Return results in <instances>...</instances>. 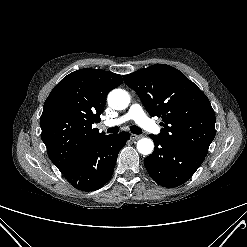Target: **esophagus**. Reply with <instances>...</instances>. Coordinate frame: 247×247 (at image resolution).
I'll use <instances>...</instances> for the list:
<instances>
[{
    "label": "esophagus",
    "mask_w": 247,
    "mask_h": 247,
    "mask_svg": "<svg viewBox=\"0 0 247 247\" xmlns=\"http://www.w3.org/2000/svg\"><path fill=\"white\" fill-rule=\"evenodd\" d=\"M130 137L132 140H137V139H140L142 135L131 134Z\"/></svg>",
    "instance_id": "esophagus-1"
}]
</instances>
